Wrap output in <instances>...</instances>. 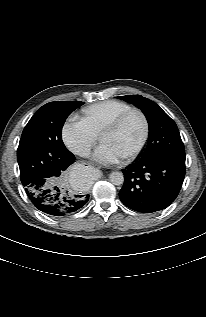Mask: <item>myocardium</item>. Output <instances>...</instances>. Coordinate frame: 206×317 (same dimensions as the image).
I'll return each instance as SVG.
<instances>
[{"instance_id":"myocardium-1","label":"myocardium","mask_w":206,"mask_h":317,"mask_svg":"<svg viewBox=\"0 0 206 317\" xmlns=\"http://www.w3.org/2000/svg\"><path fill=\"white\" fill-rule=\"evenodd\" d=\"M132 114H137L140 116L143 123V134L139 144L131 152L125 155L123 157L124 159H133L138 156L143 151L148 142L150 135V123L145 112L140 108H131L112 119L100 133V140L102 141V137L104 135L116 131Z\"/></svg>"}]
</instances>
